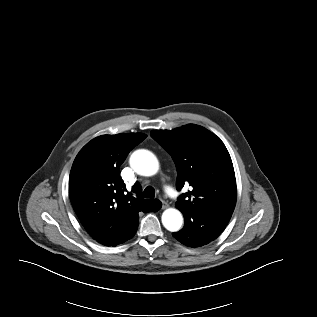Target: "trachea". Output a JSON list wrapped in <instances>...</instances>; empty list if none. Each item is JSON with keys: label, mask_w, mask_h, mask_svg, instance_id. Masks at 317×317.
Instances as JSON below:
<instances>
[{"label": "trachea", "mask_w": 317, "mask_h": 317, "mask_svg": "<svg viewBox=\"0 0 317 317\" xmlns=\"http://www.w3.org/2000/svg\"><path fill=\"white\" fill-rule=\"evenodd\" d=\"M143 196L146 198H151L153 199L155 197V190L153 187L148 186L145 188L144 192H143Z\"/></svg>", "instance_id": "trachea-1"}]
</instances>
